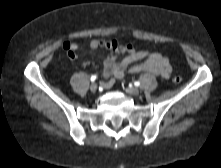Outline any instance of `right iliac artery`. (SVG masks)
<instances>
[{"label":"right iliac artery","instance_id":"obj_1","mask_svg":"<svg viewBox=\"0 0 221 168\" xmlns=\"http://www.w3.org/2000/svg\"><path fill=\"white\" fill-rule=\"evenodd\" d=\"M96 78H97L96 75L91 76V78H90L91 82H94L96 80Z\"/></svg>","mask_w":221,"mask_h":168}]
</instances>
